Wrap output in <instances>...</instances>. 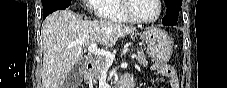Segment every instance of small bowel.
I'll use <instances>...</instances> for the list:
<instances>
[{
    "mask_svg": "<svg viewBox=\"0 0 227 88\" xmlns=\"http://www.w3.org/2000/svg\"><path fill=\"white\" fill-rule=\"evenodd\" d=\"M161 73L163 76L165 77H170L171 81V88H178L179 87V81L177 78L173 77L174 76V71L172 68H170L169 66H163L161 68ZM130 79V77L126 76L124 77V80Z\"/></svg>",
    "mask_w": 227,
    "mask_h": 88,
    "instance_id": "c3829d8e",
    "label": "small bowel"
}]
</instances>
